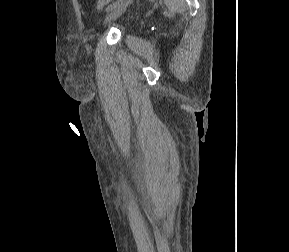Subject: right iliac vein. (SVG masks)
Listing matches in <instances>:
<instances>
[{"label": "right iliac vein", "mask_w": 289, "mask_h": 252, "mask_svg": "<svg viewBox=\"0 0 289 252\" xmlns=\"http://www.w3.org/2000/svg\"><path fill=\"white\" fill-rule=\"evenodd\" d=\"M133 0H122L120 5L112 10L105 19V24L117 19L127 9Z\"/></svg>", "instance_id": "right-iliac-vein-1"}]
</instances>
